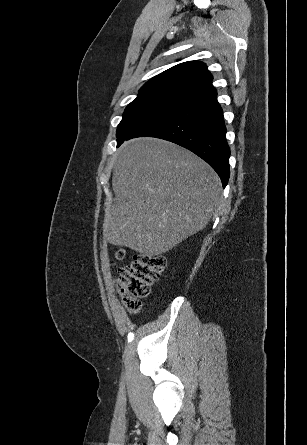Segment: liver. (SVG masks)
<instances>
[{"label": "liver", "mask_w": 307, "mask_h": 445, "mask_svg": "<svg viewBox=\"0 0 307 445\" xmlns=\"http://www.w3.org/2000/svg\"><path fill=\"white\" fill-rule=\"evenodd\" d=\"M112 184L104 237L142 257L166 253L205 229L221 202V180L205 160L149 136L119 148Z\"/></svg>", "instance_id": "liver-1"}]
</instances>
